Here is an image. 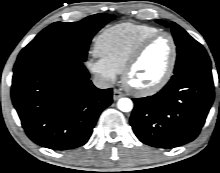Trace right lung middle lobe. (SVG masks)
Masks as SVG:
<instances>
[{
  "mask_svg": "<svg viewBox=\"0 0 220 173\" xmlns=\"http://www.w3.org/2000/svg\"><path fill=\"white\" fill-rule=\"evenodd\" d=\"M115 16L95 14L79 22H55L42 30L19 54L18 58L50 50H63L86 60L92 37Z\"/></svg>",
  "mask_w": 220,
  "mask_h": 173,
  "instance_id": "right-lung-middle-lobe-1",
  "label": "right lung middle lobe"
}]
</instances>
